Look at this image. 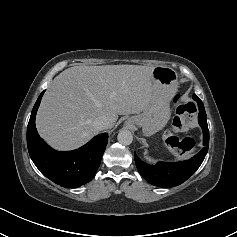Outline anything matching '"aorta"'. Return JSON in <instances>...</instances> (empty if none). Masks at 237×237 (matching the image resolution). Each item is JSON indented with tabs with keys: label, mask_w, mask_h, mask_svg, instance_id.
Instances as JSON below:
<instances>
[{
	"label": "aorta",
	"mask_w": 237,
	"mask_h": 237,
	"mask_svg": "<svg viewBox=\"0 0 237 237\" xmlns=\"http://www.w3.org/2000/svg\"><path fill=\"white\" fill-rule=\"evenodd\" d=\"M118 142L122 145H130L133 141V135L128 130H121L117 136Z\"/></svg>",
	"instance_id": "1"
}]
</instances>
